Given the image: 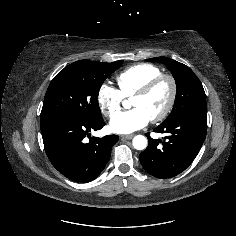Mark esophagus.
<instances>
[{
    "label": "esophagus",
    "instance_id": "1",
    "mask_svg": "<svg viewBox=\"0 0 236 236\" xmlns=\"http://www.w3.org/2000/svg\"><path fill=\"white\" fill-rule=\"evenodd\" d=\"M134 137L133 134H130V135H122L121 136V139H132Z\"/></svg>",
    "mask_w": 236,
    "mask_h": 236
}]
</instances>
